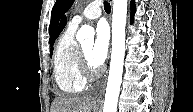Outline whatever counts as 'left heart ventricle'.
<instances>
[{
  "mask_svg": "<svg viewBox=\"0 0 193 112\" xmlns=\"http://www.w3.org/2000/svg\"><path fill=\"white\" fill-rule=\"evenodd\" d=\"M82 46V49L84 50V53L87 57V60L89 62V64L93 67V68H96L98 67L97 65H95L92 61V58H91V51H92V47H93V42L90 41V42H87V43H84L81 45Z\"/></svg>",
  "mask_w": 193,
  "mask_h": 112,
  "instance_id": "1",
  "label": "left heart ventricle"
}]
</instances>
